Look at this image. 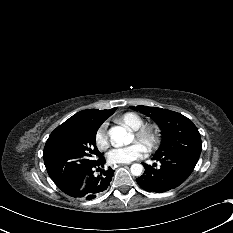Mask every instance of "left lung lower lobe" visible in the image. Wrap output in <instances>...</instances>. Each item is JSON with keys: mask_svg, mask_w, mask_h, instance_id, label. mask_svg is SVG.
Instances as JSON below:
<instances>
[{"mask_svg": "<svg viewBox=\"0 0 233 233\" xmlns=\"http://www.w3.org/2000/svg\"><path fill=\"white\" fill-rule=\"evenodd\" d=\"M154 160L160 162V167L143 164L145 172L137 178L139 186L147 192L162 193L178 187L194 170L197 160L177 153H159Z\"/></svg>", "mask_w": 233, "mask_h": 233, "instance_id": "left-lung-lower-lobe-1", "label": "left lung lower lobe"}]
</instances>
